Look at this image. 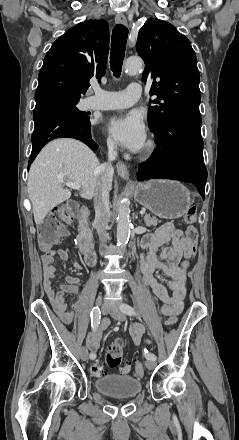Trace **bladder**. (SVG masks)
I'll list each match as a JSON object with an SVG mask.
<instances>
[{"label": "bladder", "mask_w": 239, "mask_h": 440, "mask_svg": "<svg viewBox=\"0 0 239 440\" xmlns=\"http://www.w3.org/2000/svg\"><path fill=\"white\" fill-rule=\"evenodd\" d=\"M95 389L108 397L116 399L132 398L142 390L139 379L129 375H108L94 381Z\"/></svg>", "instance_id": "bladder-1"}]
</instances>
